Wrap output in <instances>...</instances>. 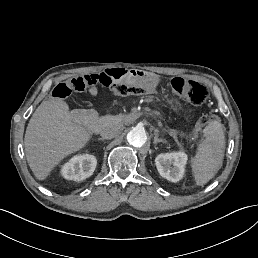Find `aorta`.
<instances>
[{
	"label": "aorta",
	"mask_w": 258,
	"mask_h": 258,
	"mask_svg": "<svg viewBox=\"0 0 258 258\" xmlns=\"http://www.w3.org/2000/svg\"><path fill=\"white\" fill-rule=\"evenodd\" d=\"M127 141L134 147H142L147 141V134L143 127L132 128L127 134Z\"/></svg>",
	"instance_id": "obj_1"
}]
</instances>
